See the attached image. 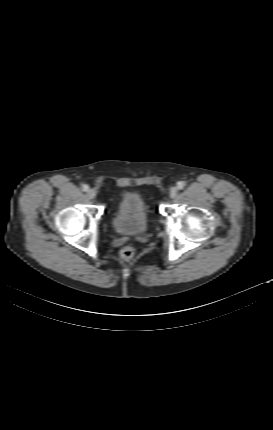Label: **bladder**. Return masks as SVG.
<instances>
[{"mask_svg": "<svg viewBox=\"0 0 273 430\" xmlns=\"http://www.w3.org/2000/svg\"><path fill=\"white\" fill-rule=\"evenodd\" d=\"M112 225L122 235L136 236L147 231V208L138 193L127 192L122 196L113 215Z\"/></svg>", "mask_w": 273, "mask_h": 430, "instance_id": "obj_1", "label": "bladder"}]
</instances>
